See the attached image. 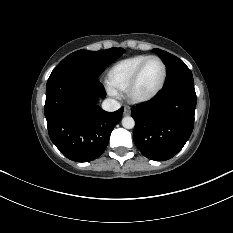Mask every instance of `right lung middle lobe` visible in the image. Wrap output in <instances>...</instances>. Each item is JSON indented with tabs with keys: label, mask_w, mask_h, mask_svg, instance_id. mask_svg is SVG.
<instances>
[{
	"label": "right lung middle lobe",
	"mask_w": 233,
	"mask_h": 233,
	"mask_svg": "<svg viewBox=\"0 0 233 233\" xmlns=\"http://www.w3.org/2000/svg\"><path fill=\"white\" fill-rule=\"evenodd\" d=\"M125 52L122 48L100 51L78 50L64 58L52 71L49 79L61 75L97 77Z\"/></svg>",
	"instance_id": "1"
}]
</instances>
